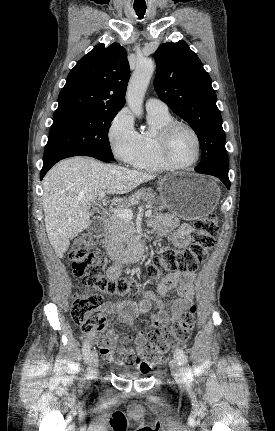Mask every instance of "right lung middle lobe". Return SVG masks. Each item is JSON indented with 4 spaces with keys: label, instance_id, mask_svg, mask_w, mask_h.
<instances>
[{
    "label": "right lung middle lobe",
    "instance_id": "1",
    "mask_svg": "<svg viewBox=\"0 0 275 431\" xmlns=\"http://www.w3.org/2000/svg\"><path fill=\"white\" fill-rule=\"evenodd\" d=\"M117 113L118 111L108 110H74L54 113L45 150L85 148L114 160L108 140V130Z\"/></svg>",
    "mask_w": 275,
    "mask_h": 431
}]
</instances>
